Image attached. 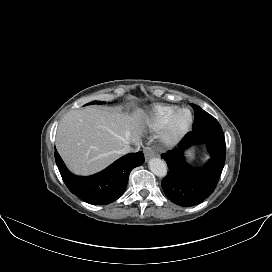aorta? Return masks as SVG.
Segmentation results:
<instances>
[{
  "label": "aorta",
  "mask_w": 272,
  "mask_h": 272,
  "mask_svg": "<svg viewBox=\"0 0 272 272\" xmlns=\"http://www.w3.org/2000/svg\"><path fill=\"white\" fill-rule=\"evenodd\" d=\"M148 167L150 171L158 177H164L167 175V164L160 158H152L148 163Z\"/></svg>",
  "instance_id": "aorta-1"
}]
</instances>
